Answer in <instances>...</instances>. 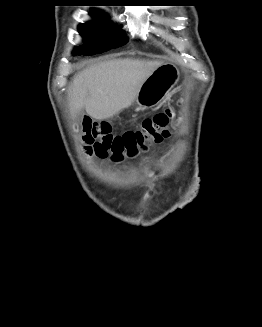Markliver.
Segmentation results:
<instances>
[{
    "label": "liver",
    "instance_id": "6515ba94",
    "mask_svg": "<svg viewBox=\"0 0 262 327\" xmlns=\"http://www.w3.org/2000/svg\"><path fill=\"white\" fill-rule=\"evenodd\" d=\"M162 62L132 58L92 65L76 75L69 89L72 115L82 108L97 120L112 118L136 99L143 82Z\"/></svg>",
    "mask_w": 262,
    "mask_h": 327
}]
</instances>
